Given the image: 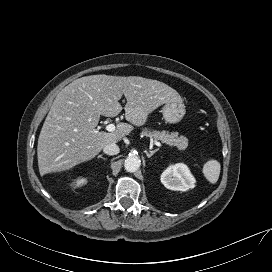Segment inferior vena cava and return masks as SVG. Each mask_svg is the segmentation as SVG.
<instances>
[{
    "label": "inferior vena cava",
    "mask_w": 272,
    "mask_h": 272,
    "mask_svg": "<svg viewBox=\"0 0 272 272\" xmlns=\"http://www.w3.org/2000/svg\"><path fill=\"white\" fill-rule=\"evenodd\" d=\"M103 151L105 154L112 156V155H117L120 149L115 143H109L105 145V147L103 148Z\"/></svg>",
    "instance_id": "602c4592"
}]
</instances>
